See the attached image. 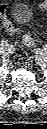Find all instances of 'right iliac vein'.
<instances>
[{
  "label": "right iliac vein",
  "instance_id": "right-iliac-vein-1",
  "mask_svg": "<svg viewBox=\"0 0 47 129\" xmlns=\"http://www.w3.org/2000/svg\"><path fill=\"white\" fill-rule=\"evenodd\" d=\"M9 49L8 45L0 46V52L5 53Z\"/></svg>",
  "mask_w": 47,
  "mask_h": 129
}]
</instances>
